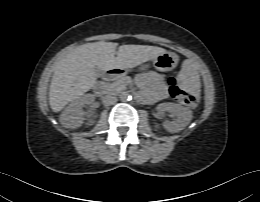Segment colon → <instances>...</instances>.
Instances as JSON below:
<instances>
[{"label":"colon","mask_w":260,"mask_h":202,"mask_svg":"<svg viewBox=\"0 0 260 202\" xmlns=\"http://www.w3.org/2000/svg\"><path fill=\"white\" fill-rule=\"evenodd\" d=\"M169 92L172 98L189 107H196L200 102L197 94H192L184 90L174 77L169 79Z\"/></svg>","instance_id":"colon-1"}]
</instances>
